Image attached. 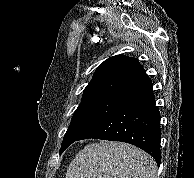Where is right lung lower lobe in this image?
I'll list each match as a JSON object with an SVG mask.
<instances>
[{
  "label": "right lung lower lobe",
  "instance_id": "98d812e1",
  "mask_svg": "<svg viewBox=\"0 0 194 178\" xmlns=\"http://www.w3.org/2000/svg\"><path fill=\"white\" fill-rule=\"evenodd\" d=\"M160 113L153 92L122 104L78 140L97 138L135 145L161 163Z\"/></svg>",
  "mask_w": 194,
  "mask_h": 178
}]
</instances>
